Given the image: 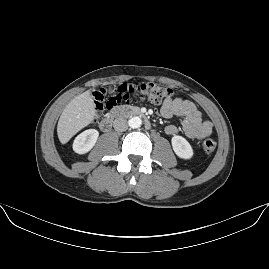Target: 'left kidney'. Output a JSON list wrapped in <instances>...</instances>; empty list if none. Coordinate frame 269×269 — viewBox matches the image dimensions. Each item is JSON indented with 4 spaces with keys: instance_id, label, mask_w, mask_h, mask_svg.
Returning <instances> with one entry per match:
<instances>
[{
    "instance_id": "1",
    "label": "left kidney",
    "mask_w": 269,
    "mask_h": 269,
    "mask_svg": "<svg viewBox=\"0 0 269 269\" xmlns=\"http://www.w3.org/2000/svg\"><path fill=\"white\" fill-rule=\"evenodd\" d=\"M172 145L180 157L188 158L192 155V149L189 143L181 136H174L172 138Z\"/></svg>"
}]
</instances>
